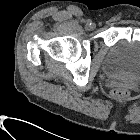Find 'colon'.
I'll list each match as a JSON object with an SVG mask.
<instances>
[{
  "label": "colon",
  "instance_id": "colon-1",
  "mask_svg": "<svg viewBox=\"0 0 140 140\" xmlns=\"http://www.w3.org/2000/svg\"><path fill=\"white\" fill-rule=\"evenodd\" d=\"M111 94L116 99H125L130 95V91L128 88L120 86V87L114 88Z\"/></svg>",
  "mask_w": 140,
  "mask_h": 140
}]
</instances>
